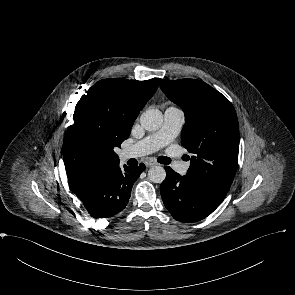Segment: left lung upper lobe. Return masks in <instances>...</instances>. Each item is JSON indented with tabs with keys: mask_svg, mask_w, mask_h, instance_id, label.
I'll list each match as a JSON object with an SVG mask.
<instances>
[{
	"mask_svg": "<svg viewBox=\"0 0 295 295\" xmlns=\"http://www.w3.org/2000/svg\"><path fill=\"white\" fill-rule=\"evenodd\" d=\"M160 86L185 114L181 142L192 153L186 176L223 201L236 173L239 151V124L232 103L199 80H162Z\"/></svg>",
	"mask_w": 295,
	"mask_h": 295,
	"instance_id": "1",
	"label": "left lung upper lobe"
}]
</instances>
